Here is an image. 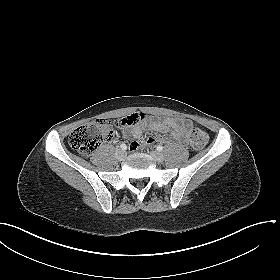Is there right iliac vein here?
<instances>
[{
	"label": "right iliac vein",
	"instance_id": "right-iliac-vein-1",
	"mask_svg": "<svg viewBox=\"0 0 280 280\" xmlns=\"http://www.w3.org/2000/svg\"><path fill=\"white\" fill-rule=\"evenodd\" d=\"M125 156H126V152L123 151V150H118V151L116 152V158H117L119 161L123 160V159L125 158Z\"/></svg>",
	"mask_w": 280,
	"mask_h": 280
}]
</instances>
